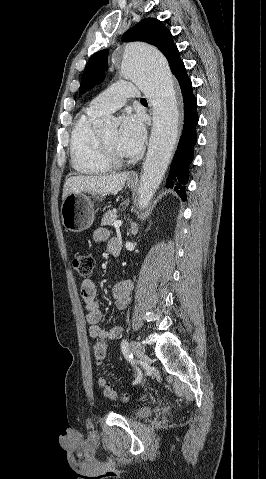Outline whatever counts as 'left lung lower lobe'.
I'll use <instances>...</instances> for the list:
<instances>
[{"mask_svg": "<svg viewBox=\"0 0 266 479\" xmlns=\"http://www.w3.org/2000/svg\"><path fill=\"white\" fill-rule=\"evenodd\" d=\"M184 101V126L175 155L173 157L166 186L174 188L186 200L185 185L189 176V164L193 160L194 145L196 144V125L198 122L197 100L192 92V83L187 76L185 66L182 63L174 70Z\"/></svg>", "mask_w": 266, "mask_h": 479, "instance_id": "obj_1", "label": "left lung lower lobe"}]
</instances>
